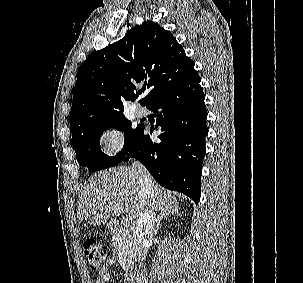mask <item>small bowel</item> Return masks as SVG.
Returning <instances> with one entry per match:
<instances>
[{
    "mask_svg": "<svg viewBox=\"0 0 303 283\" xmlns=\"http://www.w3.org/2000/svg\"><path fill=\"white\" fill-rule=\"evenodd\" d=\"M115 264V259L110 258L105 266L99 271L95 283H107L110 280L109 267Z\"/></svg>",
    "mask_w": 303,
    "mask_h": 283,
    "instance_id": "obj_1",
    "label": "small bowel"
}]
</instances>
